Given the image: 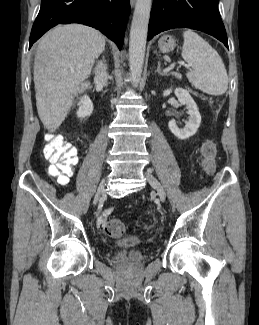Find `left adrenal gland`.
Returning <instances> with one entry per match:
<instances>
[{
  "instance_id": "a2214340",
  "label": "left adrenal gland",
  "mask_w": 259,
  "mask_h": 325,
  "mask_svg": "<svg viewBox=\"0 0 259 325\" xmlns=\"http://www.w3.org/2000/svg\"><path fill=\"white\" fill-rule=\"evenodd\" d=\"M155 72L158 73L159 75H162V76H166L167 75V74H165V73H163L161 71V63H160V61H158L157 70Z\"/></svg>"
}]
</instances>
